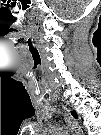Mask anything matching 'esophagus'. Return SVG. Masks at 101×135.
<instances>
[{"label": "esophagus", "instance_id": "1", "mask_svg": "<svg viewBox=\"0 0 101 135\" xmlns=\"http://www.w3.org/2000/svg\"><path fill=\"white\" fill-rule=\"evenodd\" d=\"M64 109H65V112H66V119L68 121L69 126L71 127V130L72 131L80 132L81 131V127L78 124V121L76 119H74L71 115H69V113H68L66 108H64Z\"/></svg>", "mask_w": 101, "mask_h": 135}]
</instances>
